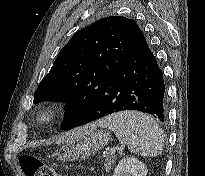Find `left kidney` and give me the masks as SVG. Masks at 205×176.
<instances>
[{
  "instance_id": "obj_1",
  "label": "left kidney",
  "mask_w": 205,
  "mask_h": 176,
  "mask_svg": "<svg viewBox=\"0 0 205 176\" xmlns=\"http://www.w3.org/2000/svg\"><path fill=\"white\" fill-rule=\"evenodd\" d=\"M147 166L134 157L122 159L113 176H147Z\"/></svg>"
}]
</instances>
